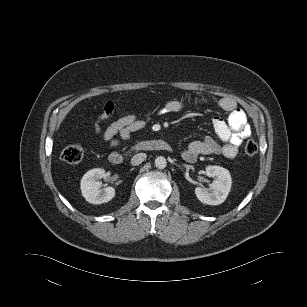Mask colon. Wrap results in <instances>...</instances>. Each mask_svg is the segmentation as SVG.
<instances>
[{"label":"colon","instance_id":"obj_1","mask_svg":"<svg viewBox=\"0 0 307 307\" xmlns=\"http://www.w3.org/2000/svg\"><path fill=\"white\" fill-rule=\"evenodd\" d=\"M258 152V145L254 140H248L244 146V153L247 156H254ZM84 155V151L79 145H69L61 152V159L69 164L79 163Z\"/></svg>","mask_w":307,"mask_h":307}]
</instances>
